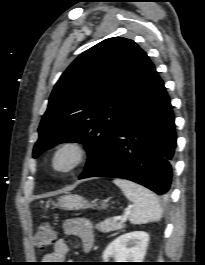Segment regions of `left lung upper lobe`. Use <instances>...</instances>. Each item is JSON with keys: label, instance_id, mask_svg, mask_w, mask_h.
Segmentation results:
<instances>
[{"label": "left lung upper lobe", "instance_id": "1", "mask_svg": "<svg viewBox=\"0 0 205 265\" xmlns=\"http://www.w3.org/2000/svg\"><path fill=\"white\" fill-rule=\"evenodd\" d=\"M153 70L147 54L130 39L109 38L83 52L50 95L33 157L59 143L74 141L85 145L87 165L91 163Z\"/></svg>", "mask_w": 205, "mask_h": 265}]
</instances>
